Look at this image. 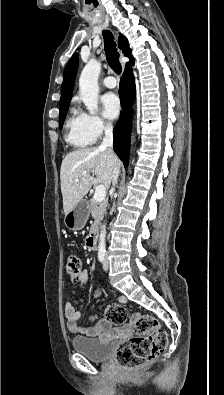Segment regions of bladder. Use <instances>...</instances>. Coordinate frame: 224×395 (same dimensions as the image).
I'll return each instance as SVG.
<instances>
[{
  "label": "bladder",
  "mask_w": 224,
  "mask_h": 395,
  "mask_svg": "<svg viewBox=\"0 0 224 395\" xmlns=\"http://www.w3.org/2000/svg\"><path fill=\"white\" fill-rule=\"evenodd\" d=\"M71 346L75 352L93 362H103L110 358L114 346L113 341H103L91 337H74Z\"/></svg>",
  "instance_id": "1"
}]
</instances>
